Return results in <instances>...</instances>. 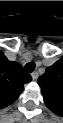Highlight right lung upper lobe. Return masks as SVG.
Instances as JSON below:
<instances>
[{
	"label": "right lung upper lobe",
	"mask_w": 63,
	"mask_h": 123,
	"mask_svg": "<svg viewBox=\"0 0 63 123\" xmlns=\"http://www.w3.org/2000/svg\"><path fill=\"white\" fill-rule=\"evenodd\" d=\"M7 69L1 75L0 89L3 98L11 103L17 99L23 90V85L31 81L30 75L24 73L22 67L17 62L7 60Z\"/></svg>",
	"instance_id": "1"
}]
</instances>
